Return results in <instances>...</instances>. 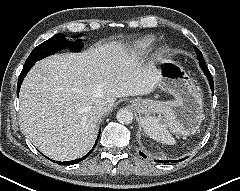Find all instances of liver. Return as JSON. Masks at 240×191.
<instances>
[{
  "mask_svg": "<svg viewBox=\"0 0 240 191\" xmlns=\"http://www.w3.org/2000/svg\"><path fill=\"white\" fill-rule=\"evenodd\" d=\"M159 79L157 70L143 67L120 43L49 56L36 62L22 83L20 127L44 155L75 160L93 145L104 114L95 109L99 100L109 111L116 98L151 93Z\"/></svg>",
  "mask_w": 240,
  "mask_h": 191,
  "instance_id": "6515ba94",
  "label": "liver"
}]
</instances>
